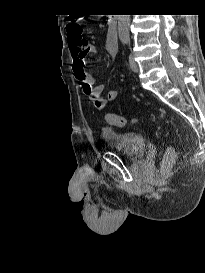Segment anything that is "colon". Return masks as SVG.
I'll list each match as a JSON object with an SVG mask.
<instances>
[{
    "mask_svg": "<svg viewBox=\"0 0 205 273\" xmlns=\"http://www.w3.org/2000/svg\"><path fill=\"white\" fill-rule=\"evenodd\" d=\"M67 31H68V36H69L70 42L76 43L80 46L85 45V40L82 37L83 28H82V24L79 20L72 21L68 25ZM106 120L114 126L121 127V126L125 125V119L119 115H116V114H111V113L107 114ZM133 122L137 123L138 121L135 119ZM172 155H173V152L171 150H169L166 153L167 158H171Z\"/></svg>",
    "mask_w": 205,
    "mask_h": 273,
    "instance_id": "obj_1",
    "label": "colon"
}]
</instances>
